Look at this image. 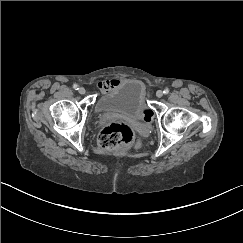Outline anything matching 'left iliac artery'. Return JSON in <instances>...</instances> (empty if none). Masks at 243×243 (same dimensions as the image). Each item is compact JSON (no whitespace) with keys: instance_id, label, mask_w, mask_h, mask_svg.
<instances>
[{"instance_id":"1","label":"left iliac artery","mask_w":243,"mask_h":243,"mask_svg":"<svg viewBox=\"0 0 243 243\" xmlns=\"http://www.w3.org/2000/svg\"><path fill=\"white\" fill-rule=\"evenodd\" d=\"M163 93L164 94H168L169 93V90L168 89H164Z\"/></svg>"}]
</instances>
